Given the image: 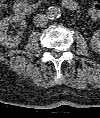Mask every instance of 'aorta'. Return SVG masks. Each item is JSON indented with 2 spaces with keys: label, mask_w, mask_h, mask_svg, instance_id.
<instances>
[{
  "label": "aorta",
  "mask_w": 100,
  "mask_h": 118,
  "mask_svg": "<svg viewBox=\"0 0 100 118\" xmlns=\"http://www.w3.org/2000/svg\"><path fill=\"white\" fill-rule=\"evenodd\" d=\"M62 14V11L59 7L57 6H50L46 10V16L50 20H56L58 19Z\"/></svg>",
  "instance_id": "aorta-1"
}]
</instances>
